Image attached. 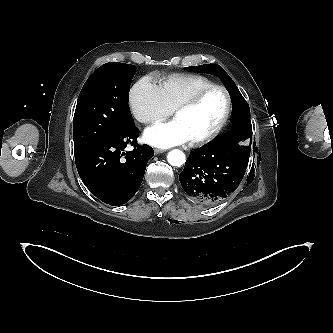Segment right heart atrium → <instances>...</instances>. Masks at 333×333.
<instances>
[{
    "label": "right heart atrium",
    "instance_id": "1",
    "mask_svg": "<svg viewBox=\"0 0 333 333\" xmlns=\"http://www.w3.org/2000/svg\"><path fill=\"white\" fill-rule=\"evenodd\" d=\"M129 106L134 118L143 124L162 121L172 113L159 87L148 77L140 79L132 87Z\"/></svg>",
    "mask_w": 333,
    "mask_h": 333
}]
</instances>
